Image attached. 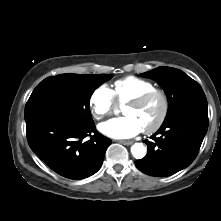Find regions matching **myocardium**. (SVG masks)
I'll return each mask as SVG.
<instances>
[{"label":"myocardium","instance_id":"f54148a6","mask_svg":"<svg viewBox=\"0 0 221 221\" xmlns=\"http://www.w3.org/2000/svg\"><path fill=\"white\" fill-rule=\"evenodd\" d=\"M155 97H159L161 99L162 111L157 121L152 126L144 129V132L147 134L157 132L163 126L168 117L170 110V101L167 93L162 89L155 88L126 103V106L140 107L147 104Z\"/></svg>","mask_w":221,"mask_h":221}]
</instances>
